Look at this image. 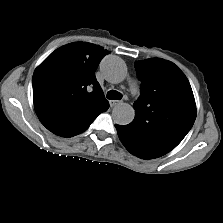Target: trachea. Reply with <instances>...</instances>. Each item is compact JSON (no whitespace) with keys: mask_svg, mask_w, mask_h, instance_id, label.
Wrapping results in <instances>:
<instances>
[{"mask_svg":"<svg viewBox=\"0 0 223 223\" xmlns=\"http://www.w3.org/2000/svg\"><path fill=\"white\" fill-rule=\"evenodd\" d=\"M122 94L116 90H110L107 92V99L110 100H121Z\"/></svg>","mask_w":223,"mask_h":223,"instance_id":"1","label":"trachea"}]
</instances>
